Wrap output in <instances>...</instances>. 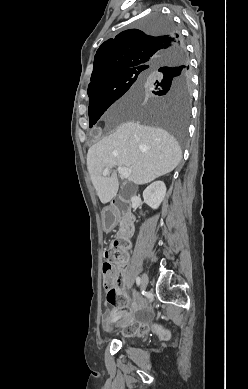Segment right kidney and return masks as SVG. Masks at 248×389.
<instances>
[{"instance_id":"1","label":"right kidney","mask_w":248,"mask_h":389,"mask_svg":"<svg viewBox=\"0 0 248 389\" xmlns=\"http://www.w3.org/2000/svg\"><path fill=\"white\" fill-rule=\"evenodd\" d=\"M166 195V186L163 181H156L143 192V198L152 209H157Z\"/></svg>"}]
</instances>
